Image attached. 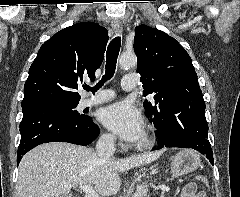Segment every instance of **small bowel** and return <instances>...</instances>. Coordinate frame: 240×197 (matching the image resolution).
Masks as SVG:
<instances>
[{
    "label": "small bowel",
    "mask_w": 240,
    "mask_h": 197,
    "mask_svg": "<svg viewBox=\"0 0 240 197\" xmlns=\"http://www.w3.org/2000/svg\"><path fill=\"white\" fill-rule=\"evenodd\" d=\"M180 197H206L204 192H198L194 183L187 184Z\"/></svg>",
    "instance_id": "1"
}]
</instances>
